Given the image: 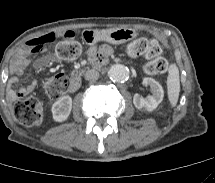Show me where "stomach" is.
<instances>
[{
  "label": "stomach",
  "instance_id": "stomach-1",
  "mask_svg": "<svg viewBox=\"0 0 215 183\" xmlns=\"http://www.w3.org/2000/svg\"><path fill=\"white\" fill-rule=\"evenodd\" d=\"M92 35L93 39L91 42L93 44L103 40L110 44L119 45L135 39L138 33L131 28H110L105 30H95Z\"/></svg>",
  "mask_w": 215,
  "mask_h": 183
}]
</instances>
